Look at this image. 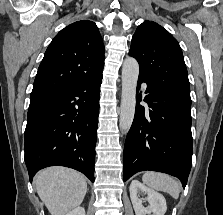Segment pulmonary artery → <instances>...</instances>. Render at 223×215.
<instances>
[{
	"label": "pulmonary artery",
	"instance_id": "pulmonary-artery-1",
	"mask_svg": "<svg viewBox=\"0 0 223 215\" xmlns=\"http://www.w3.org/2000/svg\"><path fill=\"white\" fill-rule=\"evenodd\" d=\"M139 86H140L141 90H146L147 86H148V83L147 82H140ZM144 97H147V94H144Z\"/></svg>",
	"mask_w": 223,
	"mask_h": 215
}]
</instances>
